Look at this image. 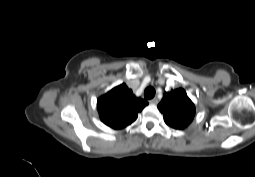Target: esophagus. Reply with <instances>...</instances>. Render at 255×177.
Returning a JSON list of instances; mask_svg holds the SVG:
<instances>
[{
    "label": "esophagus",
    "instance_id": "esophagus-1",
    "mask_svg": "<svg viewBox=\"0 0 255 177\" xmlns=\"http://www.w3.org/2000/svg\"><path fill=\"white\" fill-rule=\"evenodd\" d=\"M151 104H157L158 103V99L157 98H153L149 101Z\"/></svg>",
    "mask_w": 255,
    "mask_h": 177
}]
</instances>
